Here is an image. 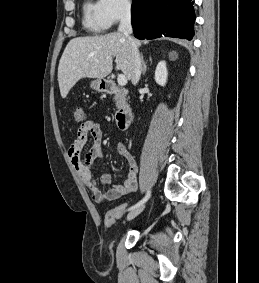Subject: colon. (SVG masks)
I'll return each instance as SVG.
<instances>
[{
    "instance_id": "colon-1",
    "label": "colon",
    "mask_w": 259,
    "mask_h": 283,
    "mask_svg": "<svg viewBox=\"0 0 259 283\" xmlns=\"http://www.w3.org/2000/svg\"><path fill=\"white\" fill-rule=\"evenodd\" d=\"M74 121L77 123H83L85 121V114L81 106H75L73 110ZM127 204H122L116 208L109 210L105 215V223L110 226L115 223V221L120 218L127 211Z\"/></svg>"
}]
</instances>
